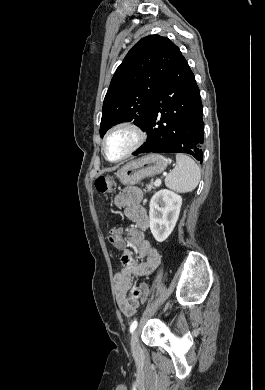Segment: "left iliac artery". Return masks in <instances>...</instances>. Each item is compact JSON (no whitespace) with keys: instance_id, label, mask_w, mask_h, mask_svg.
<instances>
[{"instance_id":"left-iliac-artery-1","label":"left iliac artery","mask_w":265,"mask_h":390,"mask_svg":"<svg viewBox=\"0 0 265 390\" xmlns=\"http://www.w3.org/2000/svg\"><path fill=\"white\" fill-rule=\"evenodd\" d=\"M137 325H138V321L135 320L131 323L130 325V333H133L135 331V329L137 328Z\"/></svg>"}]
</instances>
